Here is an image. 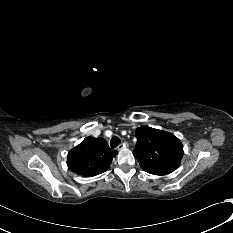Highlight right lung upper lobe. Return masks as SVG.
Returning a JSON list of instances; mask_svg holds the SVG:
<instances>
[{"label": "right lung upper lobe", "instance_id": "cb5924a9", "mask_svg": "<svg viewBox=\"0 0 233 233\" xmlns=\"http://www.w3.org/2000/svg\"><path fill=\"white\" fill-rule=\"evenodd\" d=\"M116 154L104 138L86 137L69 151L67 165L78 175L92 177L105 172Z\"/></svg>", "mask_w": 233, "mask_h": 233}]
</instances>
